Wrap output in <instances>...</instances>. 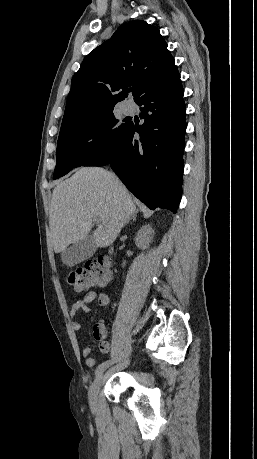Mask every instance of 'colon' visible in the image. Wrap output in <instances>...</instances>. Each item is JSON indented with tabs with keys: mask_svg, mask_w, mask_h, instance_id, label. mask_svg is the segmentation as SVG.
<instances>
[{
	"mask_svg": "<svg viewBox=\"0 0 257 459\" xmlns=\"http://www.w3.org/2000/svg\"><path fill=\"white\" fill-rule=\"evenodd\" d=\"M107 259L90 260L84 266L75 268L68 275V283L78 292L87 291L90 287L106 284L110 279Z\"/></svg>",
	"mask_w": 257,
	"mask_h": 459,
	"instance_id": "5ec220e1",
	"label": "colon"
}]
</instances>
